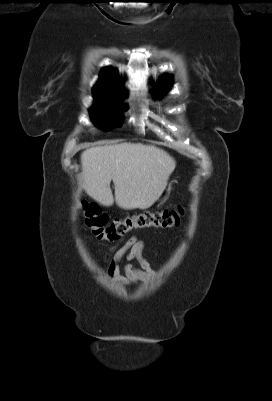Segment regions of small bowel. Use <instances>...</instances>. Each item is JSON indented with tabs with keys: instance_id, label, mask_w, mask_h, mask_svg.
I'll return each instance as SVG.
<instances>
[{
	"instance_id": "small-bowel-1",
	"label": "small bowel",
	"mask_w": 272,
	"mask_h": 401,
	"mask_svg": "<svg viewBox=\"0 0 272 401\" xmlns=\"http://www.w3.org/2000/svg\"><path fill=\"white\" fill-rule=\"evenodd\" d=\"M144 243L136 236L130 237L120 247H112L113 255L109 258L108 275L110 278L125 285H133L139 281L148 280L155 276L150 263L143 257ZM136 260L140 267L131 264L125 265L122 269L120 262Z\"/></svg>"
}]
</instances>
